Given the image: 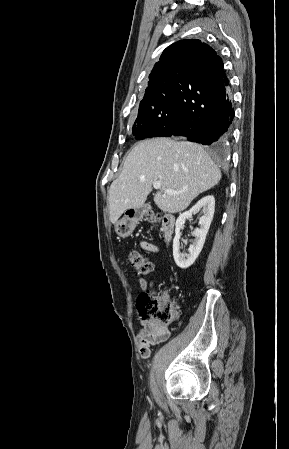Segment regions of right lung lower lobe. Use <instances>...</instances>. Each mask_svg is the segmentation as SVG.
I'll return each instance as SVG.
<instances>
[{
    "instance_id": "right-lung-lower-lobe-1",
    "label": "right lung lower lobe",
    "mask_w": 289,
    "mask_h": 449,
    "mask_svg": "<svg viewBox=\"0 0 289 449\" xmlns=\"http://www.w3.org/2000/svg\"><path fill=\"white\" fill-rule=\"evenodd\" d=\"M177 117L152 137L185 136L189 141L221 148L234 118L229 81L222 68L206 81H180L175 87Z\"/></svg>"
}]
</instances>
